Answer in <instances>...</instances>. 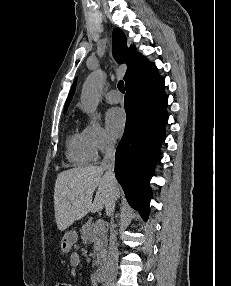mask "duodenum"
<instances>
[{
  "mask_svg": "<svg viewBox=\"0 0 231 286\" xmlns=\"http://www.w3.org/2000/svg\"><path fill=\"white\" fill-rule=\"evenodd\" d=\"M95 278H96V281L99 283H103L105 281L106 274H105V268L104 267H100L96 270Z\"/></svg>",
  "mask_w": 231,
  "mask_h": 286,
  "instance_id": "1",
  "label": "duodenum"
}]
</instances>
